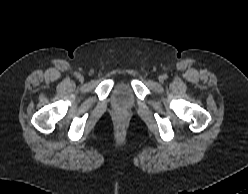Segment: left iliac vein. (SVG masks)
I'll use <instances>...</instances> for the list:
<instances>
[{"label": "left iliac vein", "instance_id": "1", "mask_svg": "<svg viewBox=\"0 0 248 194\" xmlns=\"http://www.w3.org/2000/svg\"><path fill=\"white\" fill-rule=\"evenodd\" d=\"M159 80L162 82L164 80L163 76H160Z\"/></svg>", "mask_w": 248, "mask_h": 194}]
</instances>
